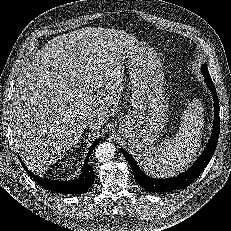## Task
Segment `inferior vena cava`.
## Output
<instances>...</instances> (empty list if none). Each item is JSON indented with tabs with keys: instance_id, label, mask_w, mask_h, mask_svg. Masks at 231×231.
I'll return each mask as SVG.
<instances>
[{
	"instance_id": "inferior-vena-cava-1",
	"label": "inferior vena cava",
	"mask_w": 231,
	"mask_h": 231,
	"mask_svg": "<svg viewBox=\"0 0 231 231\" xmlns=\"http://www.w3.org/2000/svg\"><path fill=\"white\" fill-rule=\"evenodd\" d=\"M85 124L87 125V126H89V127H91V126H93V125H99L100 123L98 122V120H96V119H88V120H86L85 121Z\"/></svg>"
}]
</instances>
